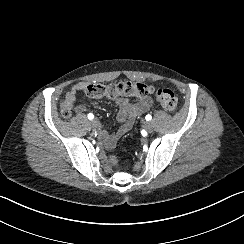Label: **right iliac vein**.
<instances>
[{"instance_id":"obj_1","label":"right iliac vein","mask_w":244,"mask_h":244,"mask_svg":"<svg viewBox=\"0 0 244 244\" xmlns=\"http://www.w3.org/2000/svg\"><path fill=\"white\" fill-rule=\"evenodd\" d=\"M90 126H91L93 129L98 128V126H99V122H98V120H96V119L91 120V122H90Z\"/></svg>"}]
</instances>
